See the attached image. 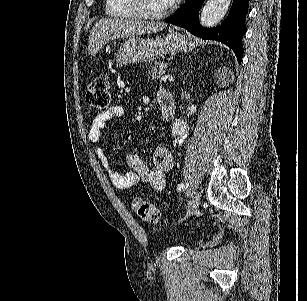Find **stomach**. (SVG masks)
Here are the masks:
<instances>
[{"label": "stomach", "mask_w": 307, "mask_h": 301, "mask_svg": "<svg viewBox=\"0 0 307 301\" xmlns=\"http://www.w3.org/2000/svg\"><path fill=\"white\" fill-rule=\"evenodd\" d=\"M192 36L180 34V32H169L166 36L158 38H128L118 48L115 60L118 66L132 64V62H154L159 56L170 54V52H183L195 48Z\"/></svg>", "instance_id": "stomach-1"}]
</instances>
